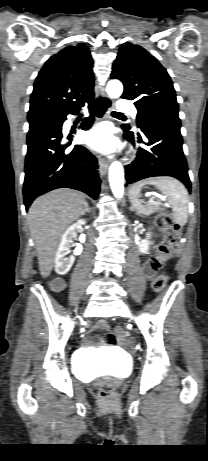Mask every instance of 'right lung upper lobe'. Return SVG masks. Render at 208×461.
<instances>
[{
    "mask_svg": "<svg viewBox=\"0 0 208 461\" xmlns=\"http://www.w3.org/2000/svg\"><path fill=\"white\" fill-rule=\"evenodd\" d=\"M93 60L86 45L68 46L51 56L36 77L28 119H58L94 99Z\"/></svg>",
    "mask_w": 208,
    "mask_h": 461,
    "instance_id": "1",
    "label": "right lung upper lobe"
}]
</instances>
